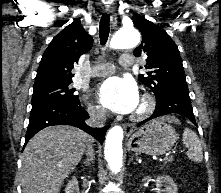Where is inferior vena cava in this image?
<instances>
[{"label": "inferior vena cava", "instance_id": "1", "mask_svg": "<svg viewBox=\"0 0 221 193\" xmlns=\"http://www.w3.org/2000/svg\"><path fill=\"white\" fill-rule=\"evenodd\" d=\"M90 118L87 121V124L95 127H103L106 122V110L104 108H95L89 110ZM87 159H94V151L91 145L86 147Z\"/></svg>", "mask_w": 221, "mask_h": 193}]
</instances>
